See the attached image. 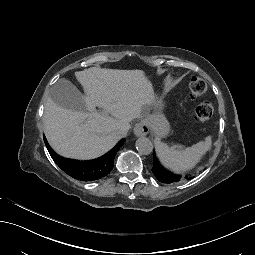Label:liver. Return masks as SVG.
<instances>
[{"instance_id":"1","label":"liver","mask_w":255,"mask_h":255,"mask_svg":"<svg viewBox=\"0 0 255 255\" xmlns=\"http://www.w3.org/2000/svg\"><path fill=\"white\" fill-rule=\"evenodd\" d=\"M74 76L84 92L85 110L62 108L48 96L44 132L50 145L65 157L97 158L116 144L122 122L129 123L141 114L142 106L154 103L151 83L140 70L91 67ZM96 106L104 111L96 112Z\"/></svg>"}]
</instances>
